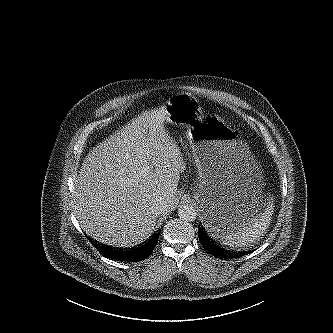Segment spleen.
Returning <instances> with one entry per match:
<instances>
[{
    "instance_id": "3e777b00",
    "label": "spleen",
    "mask_w": 333,
    "mask_h": 333,
    "mask_svg": "<svg viewBox=\"0 0 333 333\" xmlns=\"http://www.w3.org/2000/svg\"><path fill=\"white\" fill-rule=\"evenodd\" d=\"M273 199L266 209L245 225L231 230L222 237V243L229 247H245L257 240L268 228L273 213Z\"/></svg>"
}]
</instances>
